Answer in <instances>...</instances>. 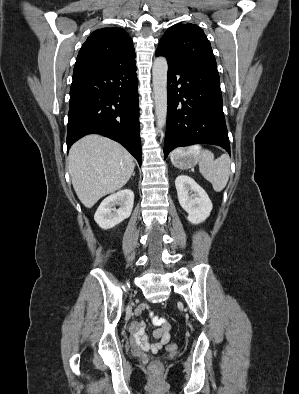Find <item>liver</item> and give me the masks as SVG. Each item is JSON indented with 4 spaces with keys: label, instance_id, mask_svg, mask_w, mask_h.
Returning a JSON list of instances; mask_svg holds the SVG:
<instances>
[{
    "label": "liver",
    "instance_id": "1",
    "mask_svg": "<svg viewBox=\"0 0 299 394\" xmlns=\"http://www.w3.org/2000/svg\"><path fill=\"white\" fill-rule=\"evenodd\" d=\"M68 162L74 190L87 208L121 189L135 167L132 155L122 145L100 135L77 141L69 151Z\"/></svg>",
    "mask_w": 299,
    "mask_h": 394
}]
</instances>
